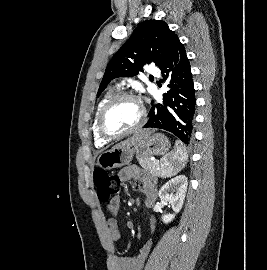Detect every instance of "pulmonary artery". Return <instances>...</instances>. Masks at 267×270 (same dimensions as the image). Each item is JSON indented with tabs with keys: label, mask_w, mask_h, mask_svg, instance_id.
Returning a JSON list of instances; mask_svg holds the SVG:
<instances>
[{
	"label": "pulmonary artery",
	"mask_w": 267,
	"mask_h": 270,
	"mask_svg": "<svg viewBox=\"0 0 267 270\" xmlns=\"http://www.w3.org/2000/svg\"><path fill=\"white\" fill-rule=\"evenodd\" d=\"M149 73L153 74V75H158L159 74V71L157 68L153 67V66H150L149 67ZM120 85H124V81L122 80L120 82Z\"/></svg>",
	"instance_id": "obj_1"
}]
</instances>
